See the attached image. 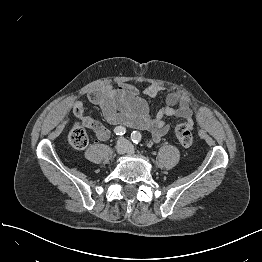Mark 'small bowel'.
I'll return each mask as SVG.
<instances>
[{
	"label": "small bowel",
	"instance_id": "obj_1",
	"mask_svg": "<svg viewBox=\"0 0 262 262\" xmlns=\"http://www.w3.org/2000/svg\"><path fill=\"white\" fill-rule=\"evenodd\" d=\"M142 91L148 100L139 95L138 88L131 83H124L115 88L102 85L100 88L88 93V100L102 108L104 119L116 127H132L148 130L153 141H160L170 130L171 125L166 117H177L193 127L195 112L191 101L181 92L170 93L167 105L155 115L151 113V101L159 95L161 88L157 85L146 83ZM73 116L81 120L99 141L109 139V131L98 119L91 117L81 101L72 105Z\"/></svg>",
	"mask_w": 262,
	"mask_h": 262
}]
</instances>
